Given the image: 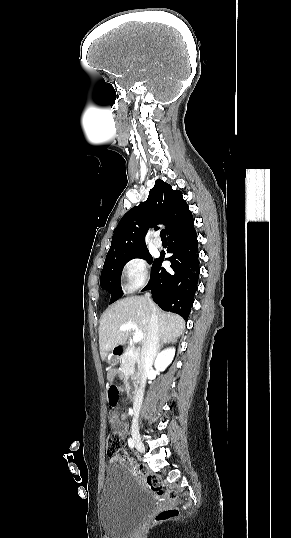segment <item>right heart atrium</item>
Here are the masks:
<instances>
[{
  "label": "right heart atrium",
  "instance_id": "right-heart-atrium-1",
  "mask_svg": "<svg viewBox=\"0 0 291 538\" xmlns=\"http://www.w3.org/2000/svg\"><path fill=\"white\" fill-rule=\"evenodd\" d=\"M122 275L127 291L133 292L142 287L149 276L145 259L140 256L127 259L122 266Z\"/></svg>",
  "mask_w": 291,
  "mask_h": 538
}]
</instances>
